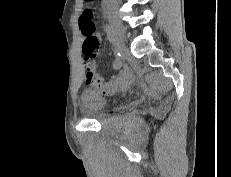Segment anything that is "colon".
I'll use <instances>...</instances> for the list:
<instances>
[{"label":"colon","mask_w":231,"mask_h":177,"mask_svg":"<svg viewBox=\"0 0 231 177\" xmlns=\"http://www.w3.org/2000/svg\"><path fill=\"white\" fill-rule=\"evenodd\" d=\"M92 1V0H85ZM92 12L85 9L80 17L79 25L84 37L82 53L84 60L89 62L96 56L99 48V39L95 34V25L91 19Z\"/></svg>","instance_id":"obj_1"}]
</instances>
